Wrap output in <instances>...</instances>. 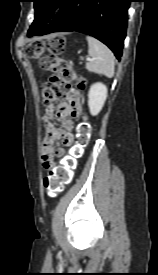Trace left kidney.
Segmentation results:
<instances>
[{
	"instance_id": "obj_1",
	"label": "left kidney",
	"mask_w": 158,
	"mask_h": 275,
	"mask_svg": "<svg viewBox=\"0 0 158 275\" xmlns=\"http://www.w3.org/2000/svg\"><path fill=\"white\" fill-rule=\"evenodd\" d=\"M107 93L106 85L100 82L91 85L88 93V106L91 115L96 116L102 110L107 99Z\"/></svg>"
}]
</instances>
